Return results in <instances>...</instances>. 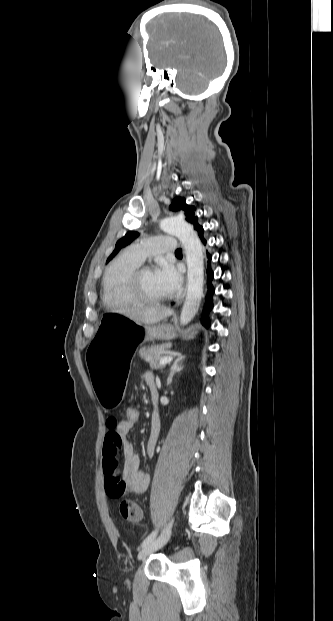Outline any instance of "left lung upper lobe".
Returning <instances> with one entry per match:
<instances>
[{"instance_id":"obj_1","label":"left lung upper lobe","mask_w":333,"mask_h":621,"mask_svg":"<svg viewBox=\"0 0 333 621\" xmlns=\"http://www.w3.org/2000/svg\"><path fill=\"white\" fill-rule=\"evenodd\" d=\"M170 210L172 211H179V210H183L185 217H186V221L189 222L190 224H192L194 226V229L196 230V228H198L200 225L198 223L197 220V216L195 215V207L194 206H189L186 204L185 202V198L183 197H176L173 199L171 205H170ZM139 236V233L136 231H128L124 237H122L121 239H119L115 245V249L112 252V254L108 257L107 259V263L125 246H127L128 244H130L135 238H137Z\"/></svg>"}]
</instances>
